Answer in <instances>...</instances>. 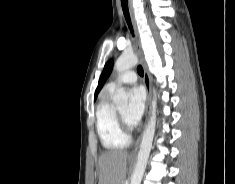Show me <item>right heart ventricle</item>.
<instances>
[{
	"label": "right heart ventricle",
	"mask_w": 235,
	"mask_h": 184,
	"mask_svg": "<svg viewBox=\"0 0 235 184\" xmlns=\"http://www.w3.org/2000/svg\"><path fill=\"white\" fill-rule=\"evenodd\" d=\"M95 124L99 140L107 154L124 150L131 142L118 121V116L107 97L101 99L95 111Z\"/></svg>",
	"instance_id": "right-heart-ventricle-1"
}]
</instances>
